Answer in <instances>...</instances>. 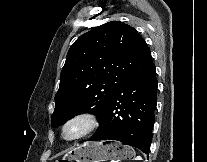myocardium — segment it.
<instances>
[{
    "label": "myocardium",
    "mask_w": 207,
    "mask_h": 162,
    "mask_svg": "<svg viewBox=\"0 0 207 162\" xmlns=\"http://www.w3.org/2000/svg\"><path fill=\"white\" fill-rule=\"evenodd\" d=\"M99 125L97 115L91 111H83L70 117L62 126L61 135L66 141H75L92 133ZM80 126V130L70 135L69 130Z\"/></svg>",
    "instance_id": "f54148a6"
}]
</instances>
